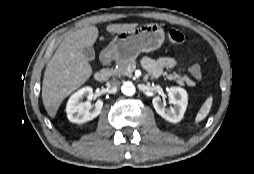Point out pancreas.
<instances>
[{"label": "pancreas", "instance_id": "cf45deb5", "mask_svg": "<svg viewBox=\"0 0 254 174\" xmlns=\"http://www.w3.org/2000/svg\"><path fill=\"white\" fill-rule=\"evenodd\" d=\"M136 61L134 59H125V60H119L116 62V67L113 69H105V71L110 76L114 77H121V76H128L132 77V72L128 70L129 66H135ZM163 76L165 79L172 80L177 82L179 85L184 86L187 84L188 86H194L195 82L192 81L187 75L181 76L177 74L176 72H173L171 74H167V72L163 73Z\"/></svg>", "mask_w": 254, "mask_h": 174}]
</instances>
